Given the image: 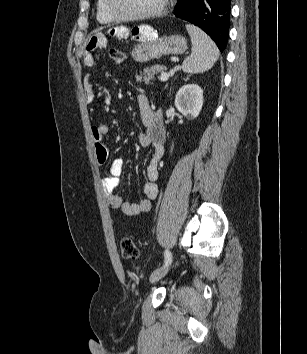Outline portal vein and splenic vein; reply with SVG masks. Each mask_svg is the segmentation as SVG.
I'll use <instances>...</instances> for the list:
<instances>
[{"mask_svg":"<svg viewBox=\"0 0 307 354\" xmlns=\"http://www.w3.org/2000/svg\"><path fill=\"white\" fill-rule=\"evenodd\" d=\"M169 74L168 73H162L160 76L161 81H167L169 79Z\"/></svg>","mask_w":307,"mask_h":354,"instance_id":"portal-vein-and-splenic-vein-1","label":"portal vein and splenic vein"}]
</instances>
